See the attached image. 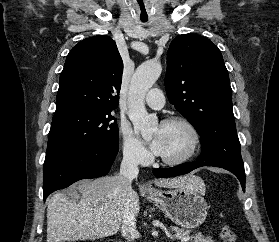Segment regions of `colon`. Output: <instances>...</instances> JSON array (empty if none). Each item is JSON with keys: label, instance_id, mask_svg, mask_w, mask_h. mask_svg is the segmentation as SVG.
<instances>
[{"label": "colon", "instance_id": "colon-1", "mask_svg": "<svg viewBox=\"0 0 279 242\" xmlns=\"http://www.w3.org/2000/svg\"><path fill=\"white\" fill-rule=\"evenodd\" d=\"M219 234L224 242H237V235L229 225H223L220 228Z\"/></svg>", "mask_w": 279, "mask_h": 242}]
</instances>
